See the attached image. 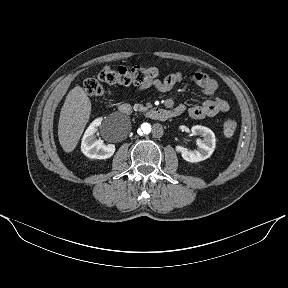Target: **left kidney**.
<instances>
[{"instance_id": "obj_1", "label": "left kidney", "mask_w": 288, "mask_h": 288, "mask_svg": "<svg viewBox=\"0 0 288 288\" xmlns=\"http://www.w3.org/2000/svg\"><path fill=\"white\" fill-rule=\"evenodd\" d=\"M192 135H198L201 139L197 140V149L189 150L177 145L176 151L181 153L184 160L195 163L209 158L214 152L216 139L213 131L207 127L195 125L191 128Z\"/></svg>"}]
</instances>
